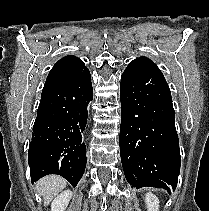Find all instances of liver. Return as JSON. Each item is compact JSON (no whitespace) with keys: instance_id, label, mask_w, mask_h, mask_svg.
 <instances>
[{"instance_id":"obj_1","label":"liver","mask_w":209,"mask_h":211,"mask_svg":"<svg viewBox=\"0 0 209 211\" xmlns=\"http://www.w3.org/2000/svg\"><path fill=\"white\" fill-rule=\"evenodd\" d=\"M67 181L56 175L41 178L37 184V192L43 197L44 206L48 205L54 197L66 187Z\"/></svg>"}]
</instances>
